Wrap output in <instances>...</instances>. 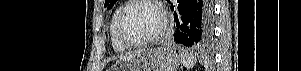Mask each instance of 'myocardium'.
<instances>
[{
	"mask_svg": "<svg viewBox=\"0 0 301 71\" xmlns=\"http://www.w3.org/2000/svg\"><path fill=\"white\" fill-rule=\"evenodd\" d=\"M140 3L149 4V5L153 6L155 9H157V11L159 12V14L161 16V25H160L158 31L154 35L149 36L142 40L133 41V40H130L125 35L124 29H123V22H124L125 14L128 11V9L130 7H132L133 5L140 4ZM167 27H168V17H167L166 11L164 10V8L161 6V4L159 2L153 1V0L128 1L120 10L118 18H117V24H116V30H117L118 37L128 47H142V46H147V45H150V44H153V43L159 41L161 39V37L164 35Z\"/></svg>",
	"mask_w": 301,
	"mask_h": 71,
	"instance_id": "obj_1",
	"label": "myocardium"
}]
</instances>
